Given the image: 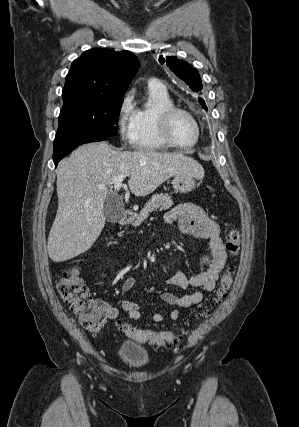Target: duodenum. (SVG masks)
I'll return each mask as SVG.
<instances>
[{
	"mask_svg": "<svg viewBox=\"0 0 299 427\" xmlns=\"http://www.w3.org/2000/svg\"><path fill=\"white\" fill-rule=\"evenodd\" d=\"M132 217H133V213H132V211H131V210H126V211L124 212V214H123V217H122L121 223H122L123 225H127V224H129V223H130V221L132 220Z\"/></svg>",
	"mask_w": 299,
	"mask_h": 427,
	"instance_id": "1",
	"label": "duodenum"
}]
</instances>
